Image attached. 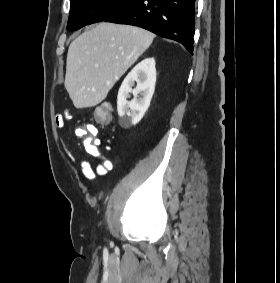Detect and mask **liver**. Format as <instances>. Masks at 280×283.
I'll use <instances>...</instances> for the list:
<instances>
[{
  "label": "liver",
  "mask_w": 280,
  "mask_h": 283,
  "mask_svg": "<svg viewBox=\"0 0 280 283\" xmlns=\"http://www.w3.org/2000/svg\"><path fill=\"white\" fill-rule=\"evenodd\" d=\"M154 37L139 27L104 22L78 36L68 49L64 82L74 106L101 103Z\"/></svg>",
  "instance_id": "6515ba94"
}]
</instances>
